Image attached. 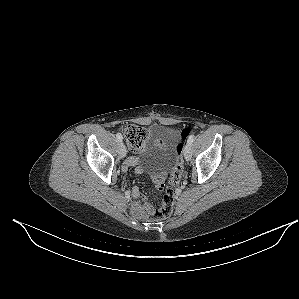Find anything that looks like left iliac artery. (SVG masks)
Returning <instances> with one entry per match:
<instances>
[{"mask_svg":"<svg viewBox=\"0 0 299 299\" xmlns=\"http://www.w3.org/2000/svg\"><path fill=\"white\" fill-rule=\"evenodd\" d=\"M193 142H194V135H191V136L188 138L187 143L191 145Z\"/></svg>","mask_w":299,"mask_h":299,"instance_id":"1","label":"left iliac artery"}]
</instances>
